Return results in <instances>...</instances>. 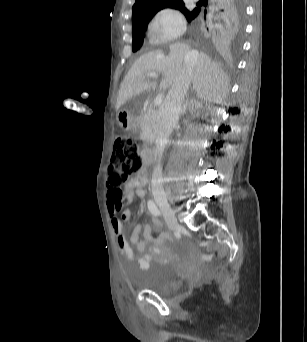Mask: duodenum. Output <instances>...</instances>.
<instances>
[{
    "mask_svg": "<svg viewBox=\"0 0 307 342\" xmlns=\"http://www.w3.org/2000/svg\"><path fill=\"white\" fill-rule=\"evenodd\" d=\"M141 155H142L144 164L149 165L153 157L152 150L150 148L143 147L141 149Z\"/></svg>",
    "mask_w": 307,
    "mask_h": 342,
    "instance_id": "1",
    "label": "duodenum"
}]
</instances>
